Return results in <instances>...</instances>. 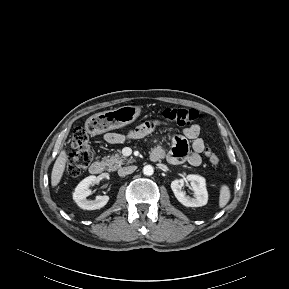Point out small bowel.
<instances>
[{
	"mask_svg": "<svg viewBox=\"0 0 289 289\" xmlns=\"http://www.w3.org/2000/svg\"><path fill=\"white\" fill-rule=\"evenodd\" d=\"M159 123L155 120H148L136 128L129 131L127 134L108 133L105 135V140L108 143L116 144L123 142L126 139L138 140L153 133ZM187 139L192 141V150H189ZM205 150V142L200 138V127L192 125L185 128L182 135L172 137V148L169 152L162 146H157L153 150V154L160 155L161 158L167 157L171 164H179L187 161L193 166L201 164V153Z\"/></svg>",
	"mask_w": 289,
	"mask_h": 289,
	"instance_id": "obj_1",
	"label": "small bowel"
}]
</instances>
